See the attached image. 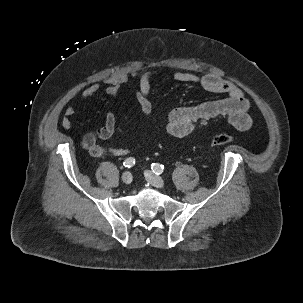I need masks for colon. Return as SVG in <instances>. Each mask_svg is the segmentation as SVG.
I'll list each match as a JSON object with an SVG mask.
<instances>
[{
	"instance_id": "1",
	"label": "colon",
	"mask_w": 303,
	"mask_h": 303,
	"mask_svg": "<svg viewBox=\"0 0 303 303\" xmlns=\"http://www.w3.org/2000/svg\"><path fill=\"white\" fill-rule=\"evenodd\" d=\"M232 142V137L224 133H214L210 138L212 146H223Z\"/></svg>"
}]
</instances>
